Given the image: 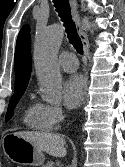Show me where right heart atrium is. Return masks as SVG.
<instances>
[{"mask_svg":"<svg viewBox=\"0 0 125 167\" xmlns=\"http://www.w3.org/2000/svg\"><path fill=\"white\" fill-rule=\"evenodd\" d=\"M44 107L46 117L53 127L58 126L64 121L65 113L61 106L44 104Z\"/></svg>","mask_w":125,"mask_h":167,"instance_id":"right-heart-atrium-1","label":"right heart atrium"}]
</instances>
